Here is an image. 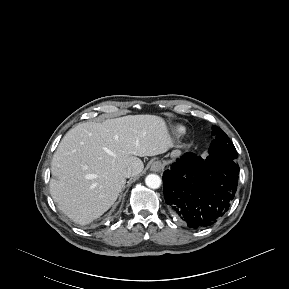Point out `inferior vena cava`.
Segmentation results:
<instances>
[{"mask_svg": "<svg viewBox=\"0 0 289 289\" xmlns=\"http://www.w3.org/2000/svg\"><path fill=\"white\" fill-rule=\"evenodd\" d=\"M122 175L125 177V178H129L132 176V170L131 169H126L122 172Z\"/></svg>", "mask_w": 289, "mask_h": 289, "instance_id": "obj_1", "label": "inferior vena cava"}]
</instances>
